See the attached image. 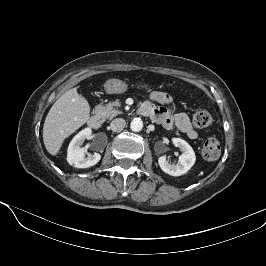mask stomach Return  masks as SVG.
Wrapping results in <instances>:
<instances>
[{
    "label": "stomach",
    "instance_id": "stomach-1",
    "mask_svg": "<svg viewBox=\"0 0 266 266\" xmlns=\"http://www.w3.org/2000/svg\"><path fill=\"white\" fill-rule=\"evenodd\" d=\"M148 86L149 84L145 81H140L136 84L137 89H144ZM104 90L108 94H122L128 90V85L120 79L112 78L104 83Z\"/></svg>",
    "mask_w": 266,
    "mask_h": 266
}]
</instances>
